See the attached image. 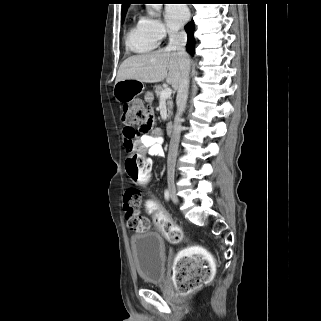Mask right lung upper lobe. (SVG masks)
Instances as JSON below:
<instances>
[{"label": "right lung upper lobe", "instance_id": "obj_1", "mask_svg": "<svg viewBox=\"0 0 321 321\" xmlns=\"http://www.w3.org/2000/svg\"><path fill=\"white\" fill-rule=\"evenodd\" d=\"M122 14L126 13V10L129 7V4H131L132 0H122Z\"/></svg>", "mask_w": 321, "mask_h": 321}]
</instances>
